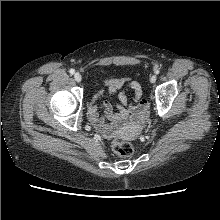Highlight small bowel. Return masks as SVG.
<instances>
[{
	"mask_svg": "<svg viewBox=\"0 0 220 220\" xmlns=\"http://www.w3.org/2000/svg\"><path fill=\"white\" fill-rule=\"evenodd\" d=\"M133 91L132 102L129 101L126 94L121 91L123 87ZM117 94V107L118 113L112 112V106L109 102L103 104L105 115L101 117L98 113V108L95 104V100L104 93ZM147 107L146 100L142 99V88L137 81L130 78H110L105 80V89L100 90L90 101L87 108V116L91 124L102 134H109L112 130L111 123L118 122L132 117H140Z\"/></svg>",
	"mask_w": 220,
	"mask_h": 220,
	"instance_id": "1",
	"label": "small bowel"
}]
</instances>
